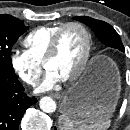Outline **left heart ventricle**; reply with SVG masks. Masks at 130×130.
Masks as SVG:
<instances>
[{
	"label": "left heart ventricle",
	"mask_w": 130,
	"mask_h": 130,
	"mask_svg": "<svg viewBox=\"0 0 130 130\" xmlns=\"http://www.w3.org/2000/svg\"><path fill=\"white\" fill-rule=\"evenodd\" d=\"M85 46L82 31L76 27L67 28L61 35L57 54L45 64V68L56 72L61 79L68 77L80 64Z\"/></svg>",
	"instance_id": "left-heart-ventricle-1"
}]
</instances>
